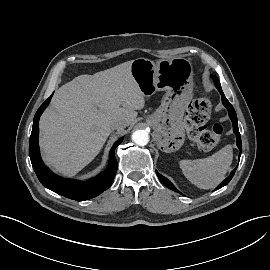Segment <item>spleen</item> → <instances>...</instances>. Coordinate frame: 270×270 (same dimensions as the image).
I'll use <instances>...</instances> for the list:
<instances>
[{
    "label": "spleen",
    "mask_w": 270,
    "mask_h": 270,
    "mask_svg": "<svg viewBox=\"0 0 270 270\" xmlns=\"http://www.w3.org/2000/svg\"><path fill=\"white\" fill-rule=\"evenodd\" d=\"M233 160L232 146L203 159L181 160L179 166L185 177L200 189H212L223 181Z\"/></svg>",
    "instance_id": "1"
}]
</instances>
